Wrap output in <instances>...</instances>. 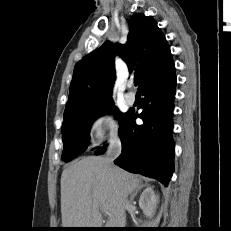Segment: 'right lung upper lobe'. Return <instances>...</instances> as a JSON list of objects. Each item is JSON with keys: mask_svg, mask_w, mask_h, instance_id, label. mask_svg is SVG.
<instances>
[{"mask_svg": "<svg viewBox=\"0 0 231 231\" xmlns=\"http://www.w3.org/2000/svg\"><path fill=\"white\" fill-rule=\"evenodd\" d=\"M118 53L130 72L139 79V89L175 73L170 47L157 23L141 13L129 21L125 44L102 46L82 58L75 66L65 114L83 111L112 101L115 80L114 55Z\"/></svg>", "mask_w": 231, "mask_h": 231, "instance_id": "cb5924a9", "label": "right lung upper lobe"}]
</instances>
